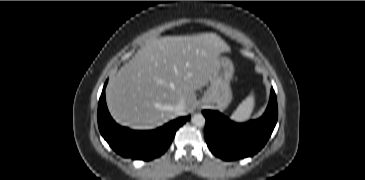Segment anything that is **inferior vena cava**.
Masks as SVG:
<instances>
[{"instance_id": "1", "label": "inferior vena cava", "mask_w": 365, "mask_h": 180, "mask_svg": "<svg viewBox=\"0 0 365 180\" xmlns=\"http://www.w3.org/2000/svg\"><path fill=\"white\" fill-rule=\"evenodd\" d=\"M175 112L178 114V115H182L183 112H184V109H185V103L183 100L179 101L178 104L175 106Z\"/></svg>"}]
</instances>
